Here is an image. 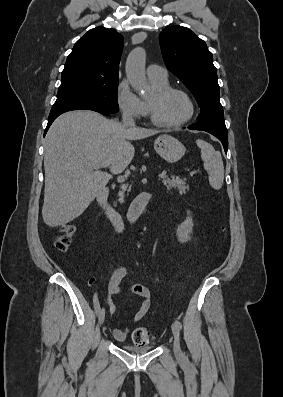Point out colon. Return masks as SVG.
Returning <instances> with one entry per match:
<instances>
[{"mask_svg":"<svg viewBox=\"0 0 283 397\" xmlns=\"http://www.w3.org/2000/svg\"><path fill=\"white\" fill-rule=\"evenodd\" d=\"M75 234V226L66 224L61 228L60 234L55 239V247L59 251H66L71 243V239ZM154 335L146 328L139 327L132 334L133 343L137 346H145L152 342Z\"/></svg>","mask_w":283,"mask_h":397,"instance_id":"1","label":"colon"}]
</instances>
